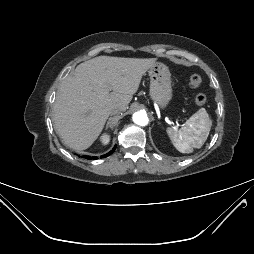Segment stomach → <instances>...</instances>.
<instances>
[{"mask_svg":"<svg viewBox=\"0 0 254 254\" xmlns=\"http://www.w3.org/2000/svg\"><path fill=\"white\" fill-rule=\"evenodd\" d=\"M150 77V97L165 109L172 99L171 74L166 65L155 62L148 71Z\"/></svg>","mask_w":254,"mask_h":254,"instance_id":"1","label":"stomach"}]
</instances>
